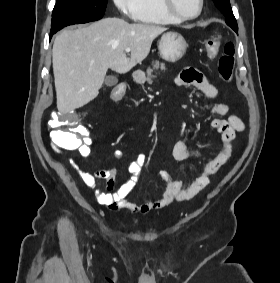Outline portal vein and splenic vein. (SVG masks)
<instances>
[{
	"label": "portal vein and splenic vein",
	"instance_id": "1",
	"mask_svg": "<svg viewBox=\"0 0 280 283\" xmlns=\"http://www.w3.org/2000/svg\"><path fill=\"white\" fill-rule=\"evenodd\" d=\"M125 51H126V53H129L131 51V48L130 47H126Z\"/></svg>",
	"mask_w": 280,
	"mask_h": 283
}]
</instances>
